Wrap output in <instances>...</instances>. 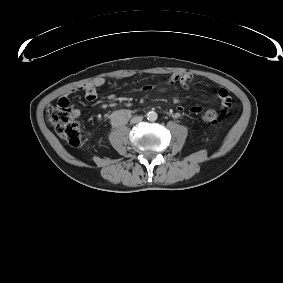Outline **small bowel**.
<instances>
[{"instance_id": "small-bowel-1", "label": "small bowel", "mask_w": 283, "mask_h": 283, "mask_svg": "<svg viewBox=\"0 0 283 283\" xmlns=\"http://www.w3.org/2000/svg\"><path fill=\"white\" fill-rule=\"evenodd\" d=\"M193 81V76L190 73H173L170 77L163 82V86L171 87L175 84H179L184 89H189L190 84ZM105 84V80L102 77L94 78L74 89L71 93H83L86 100L95 101L98 96V89ZM155 88L153 85H147L141 88L142 91H151ZM217 96L220 99L221 106L223 110L229 109L231 106V98L228 91L225 88L217 89ZM177 113L181 114L185 111V108L181 105L177 107ZM203 108L199 105H194L190 107L189 111L192 114L201 113ZM72 114L74 118H78L81 115V111L78 108L73 109Z\"/></svg>"}]
</instances>
